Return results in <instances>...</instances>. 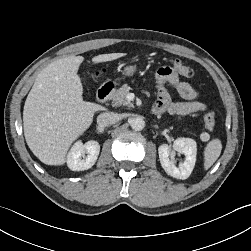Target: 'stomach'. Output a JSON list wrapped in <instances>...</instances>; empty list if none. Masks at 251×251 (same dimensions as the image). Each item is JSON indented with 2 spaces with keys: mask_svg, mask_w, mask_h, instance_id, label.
I'll use <instances>...</instances> for the list:
<instances>
[{
  "mask_svg": "<svg viewBox=\"0 0 251 251\" xmlns=\"http://www.w3.org/2000/svg\"><path fill=\"white\" fill-rule=\"evenodd\" d=\"M137 70L135 65H128L124 68V73L126 76H132Z\"/></svg>",
  "mask_w": 251,
  "mask_h": 251,
  "instance_id": "1",
  "label": "stomach"
}]
</instances>
